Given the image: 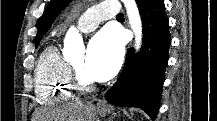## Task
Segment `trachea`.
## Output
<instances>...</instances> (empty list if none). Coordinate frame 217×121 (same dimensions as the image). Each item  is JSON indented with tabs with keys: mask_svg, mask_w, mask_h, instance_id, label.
<instances>
[{
	"mask_svg": "<svg viewBox=\"0 0 217 121\" xmlns=\"http://www.w3.org/2000/svg\"><path fill=\"white\" fill-rule=\"evenodd\" d=\"M117 17H124V15H123L122 13H119V14L117 15Z\"/></svg>",
	"mask_w": 217,
	"mask_h": 121,
	"instance_id": "obj_1",
	"label": "trachea"
}]
</instances>
